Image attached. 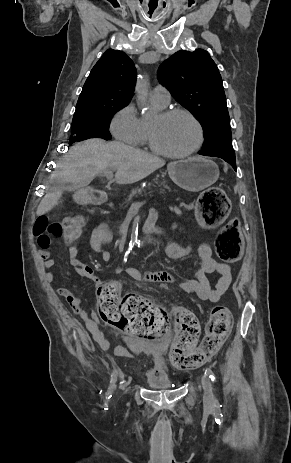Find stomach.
Returning <instances> with one entry per match:
<instances>
[{"mask_svg":"<svg viewBox=\"0 0 291 463\" xmlns=\"http://www.w3.org/2000/svg\"><path fill=\"white\" fill-rule=\"evenodd\" d=\"M167 171L179 187L191 191H201L214 184L219 177L218 166L203 157H191L169 163ZM82 197V193L78 195Z\"/></svg>","mask_w":291,"mask_h":463,"instance_id":"0dacf381","label":"stomach"}]
</instances>
